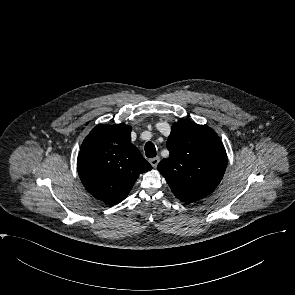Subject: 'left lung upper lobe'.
I'll use <instances>...</instances> for the list:
<instances>
[{
  "mask_svg": "<svg viewBox=\"0 0 295 295\" xmlns=\"http://www.w3.org/2000/svg\"><path fill=\"white\" fill-rule=\"evenodd\" d=\"M166 146L170 156L160 161L157 169L179 200L197 201L218 186L227 156L220 138L209 126L178 121L172 125Z\"/></svg>",
  "mask_w": 295,
  "mask_h": 295,
  "instance_id": "1",
  "label": "left lung upper lobe"
}]
</instances>
